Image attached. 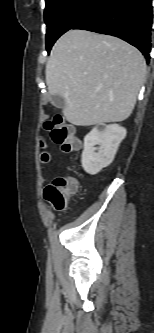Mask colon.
Instances as JSON below:
<instances>
[{
	"instance_id": "obj_1",
	"label": "colon",
	"mask_w": 154,
	"mask_h": 333,
	"mask_svg": "<svg viewBox=\"0 0 154 333\" xmlns=\"http://www.w3.org/2000/svg\"><path fill=\"white\" fill-rule=\"evenodd\" d=\"M44 128L50 133L54 143L66 152H74L79 149V140L73 126L63 122L60 116H55L44 123ZM43 146V144H42ZM42 163H48L50 155L46 150L40 154ZM77 182L72 177L59 176L44 189V199L55 210L65 208L71 195L77 191Z\"/></svg>"
}]
</instances>
